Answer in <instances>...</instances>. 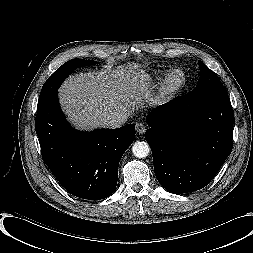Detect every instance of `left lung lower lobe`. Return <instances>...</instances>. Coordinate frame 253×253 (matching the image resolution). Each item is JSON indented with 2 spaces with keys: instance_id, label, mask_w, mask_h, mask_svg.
Returning a JSON list of instances; mask_svg holds the SVG:
<instances>
[{
  "instance_id": "left-lung-lower-lobe-1",
  "label": "left lung lower lobe",
  "mask_w": 253,
  "mask_h": 253,
  "mask_svg": "<svg viewBox=\"0 0 253 253\" xmlns=\"http://www.w3.org/2000/svg\"><path fill=\"white\" fill-rule=\"evenodd\" d=\"M147 123L155 175L168 192L205 187L231 153L233 111L224 86L203 100L190 92L161 105Z\"/></svg>"
}]
</instances>
